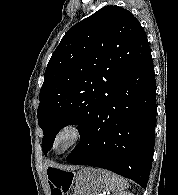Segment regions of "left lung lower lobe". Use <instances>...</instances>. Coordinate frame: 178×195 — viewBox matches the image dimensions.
I'll use <instances>...</instances> for the list:
<instances>
[{
    "label": "left lung lower lobe",
    "mask_w": 178,
    "mask_h": 195,
    "mask_svg": "<svg viewBox=\"0 0 178 195\" xmlns=\"http://www.w3.org/2000/svg\"><path fill=\"white\" fill-rule=\"evenodd\" d=\"M156 110L150 53L101 103L66 160L113 171L146 188L154 152Z\"/></svg>",
    "instance_id": "left-lung-lower-lobe-1"
}]
</instances>
